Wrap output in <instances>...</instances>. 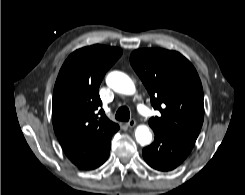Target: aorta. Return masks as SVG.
<instances>
[{
	"instance_id": "1",
	"label": "aorta",
	"mask_w": 245,
	"mask_h": 195,
	"mask_svg": "<svg viewBox=\"0 0 245 195\" xmlns=\"http://www.w3.org/2000/svg\"><path fill=\"white\" fill-rule=\"evenodd\" d=\"M106 83L115 92L121 94L131 95L135 92V86L130 77L119 71L109 73L106 78ZM135 137L137 142L142 146L148 145L152 141V134L145 125H139L136 128Z\"/></svg>"
}]
</instances>
